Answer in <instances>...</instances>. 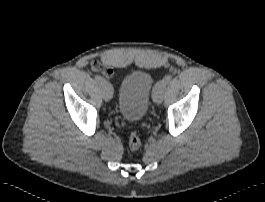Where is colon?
I'll return each instance as SVG.
<instances>
[{
    "instance_id": "1",
    "label": "colon",
    "mask_w": 265,
    "mask_h": 202,
    "mask_svg": "<svg viewBox=\"0 0 265 202\" xmlns=\"http://www.w3.org/2000/svg\"><path fill=\"white\" fill-rule=\"evenodd\" d=\"M141 146V140L137 134H131L129 137V147L132 151H137Z\"/></svg>"
}]
</instances>
